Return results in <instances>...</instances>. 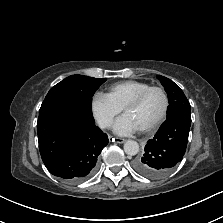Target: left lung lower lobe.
Returning a JSON list of instances; mask_svg holds the SVG:
<instances>
[{"instance_id":"left-lung-lower-lobe-1","label":"left lung lower lobe","mask_w":223,"mask_h":223,"mask_svg":"<svg viewBox=\"0 0 223 223\" xmlns=\"http://www.w3.org/2000/svg\"><path fill=\"white\" fill-rule=\"evenodd\" d=\"M191 118L174 115L161 125L144 153L134 160V169L144 177L161 179L169 175L182 160L188 142Z\"/></svg>"}]
</instances>
